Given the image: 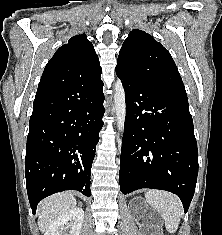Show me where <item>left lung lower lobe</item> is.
<instances>
[{"mask_svg":"<svg viewBox=\"0 0 222 235\" xmlns=\"http://www.w3.org/2000/svg\"><path fill=\"white\" fill-rule=\"evenodd\" d=\"M126 119L119 181L126 195L142 188L177 194L187 212L195 192L198 150L188 100L121 69Z\"/></svg>","mask_w":222,"mask_h":235,"instance_id":"1","label":"left lung lower lobe"}]
</instances>
